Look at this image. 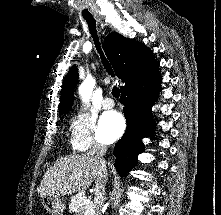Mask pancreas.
I'll list each match as a JSON object with an SVG mask.
<instances>
[{"instance_id": "obj_1", "label": "pancreas", "mask_w": 221, "mask_h": 215, "mask_svg": "<svg viewBox=\"0 0 221 215\" xmlns=\"http://www.w3.org/2000/svg\"><path fill=\"white\" fill-rule=\"evenodd\" d=\"M84 193H78L71 198L69 210L75 212V215H94V204L90 201L88 205L81 206L86 200Z\"/></svg>"}]
</instances>
